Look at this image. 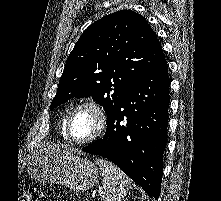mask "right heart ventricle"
Masks as SVG:
<instances>
[{
    "mask_svg": "<svg viewBox=\"0 0 221 201\" xmlns=\"http://www.w3.org/2000/svg\"><path fill=\"white\" fill-rule=\"evenodd\" d=\"M66 116L67 114H63L62 117H61V120H60V133H61V136L68 140L67 136H66V132H65V121H66Z\"/></svg>",
    "mask_w": 221,
    "mask_h": 201,
    "instance_id": "right-heart-ventricle-1",
    "label": "right heart ventricle"
}]
</instances>
